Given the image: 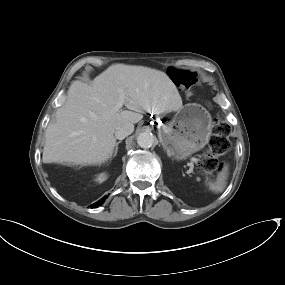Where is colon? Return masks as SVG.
<instances>
[{"label": "colon", "instance_id": "1", "mask_svg": "<svg viewBox=\"0 0 285 285\" xmlns=\"http://www.w3.org/2000/svg\"><path fill=\"white\" fill-rule=\"evenodd\" d=\"M170 73L173 75L176 84L182 79L189 77L185 71L171 68ZM230 126L223 122L217 121L214 126V133L209 140L208 148L200 155L198 164L208 172H215L222 168V163L218 157L229 150L228 133Z\"/></svg>", "mask_w": 285, "mask_h": 285}]
</instances>
